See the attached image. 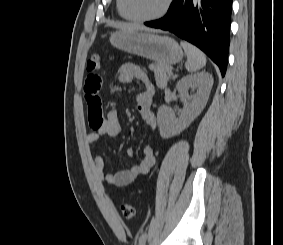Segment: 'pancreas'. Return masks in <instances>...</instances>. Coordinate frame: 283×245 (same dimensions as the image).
Instances as JSON below:
<instances>
[{
  "label": "pancreas",
  "instance_id": "pancreas-1",
  "mask_svg": "<svg viewBox=\"0 0 283 245\" xmlns=\"http://www.w3.org/2000/svg\"><path fill=\"white\" fill-rule=\"evenodd\" d=\"M149 69L154 71L156 85L160 89H164L167 86L170 75L168 74L169 70H172V67L163 63H152L149 65Z\"/></svg>",
  "mask_w": 283,
  "mask_h": 245
}]
</instances>
